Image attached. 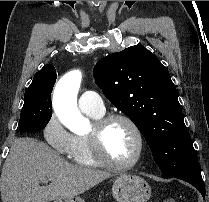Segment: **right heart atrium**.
Here are the masks:
<instances>
[{
  "label": "right heart atrium",
  "instance_id": "1",
  "mask_svg": "<svg viewBox=\"0 0 209 202\" xmlns=\"http://www.w3.org/2000/svg\"><path fill=\"white\" fill-rule=\"evenodd\" d=\"M42 133L45 141L57 152L63 155L69 153L74 136L65 129L54 113L48 117Z\"/></svg>",
  "mask_w": 209,
  "mask_h": 202
}]
</instances>
